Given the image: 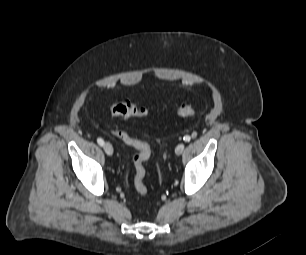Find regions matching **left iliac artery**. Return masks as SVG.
I'll list each match as a JSON object with an SVG mask.
<instances>
[{
    "label": "left iliac artery",
    "mask_w": 306,
    "mask_h": 255,
    "mask_svg": "<svg viewBox=\"0 0 306 255\" xmlns=\"http://www.w3.org/2000/svg\"><path fill=\"white\" fill-rule=\"evenodd\" d=\"M183 140L185 142H189L191 140V137L189 135L184 136Z\"/></svg>",
    "instance_id": "obj_1"
}]
</instances>
